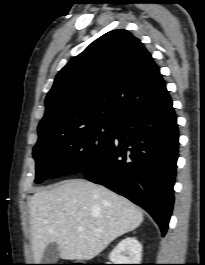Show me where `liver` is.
<instances>
[{"label":"liver","instance_id":"obj_1","mask_svg":"<svg viewBox=\"0 0 205 265\" xmlns=\"http://www.w3.org/2000/svg\"><path fill=\"white\" fill-rule=\"evenodd\" d=\"M29 206L36 264L49 243L58 245L62 259L90 260L143 221V212L128 199L82 179L38 190Z\"/></svg>","mask_w":205,"mask_h":265}]
</instances>
